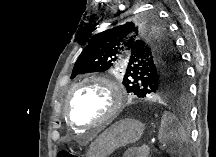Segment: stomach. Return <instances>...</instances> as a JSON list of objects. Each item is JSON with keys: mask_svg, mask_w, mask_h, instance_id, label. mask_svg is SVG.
<instances>
[{"mask_svg": "<svg viewBox=\"0 0 216 157\" xmlns=\"http://www.w3.org/2000/svg\"><path fill=\"white\" fill-rule=\"evenodd\" d=\"M143 130V124L135 119L120 120L105 129L94 140L87 157H108L120 147L139 140Z\"/></svg>", "mask_w": 216, "mask_h": 157, "instance_id": "0dacf381", "label": "stomach"}]
</instances>
